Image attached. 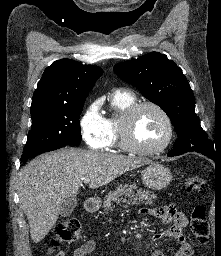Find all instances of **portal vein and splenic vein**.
<instances>
[{"instance_id":"18ae733b","label":"portal vein and splenic vein","mask_w":221,"mask_h":256,"mask_svg":"<svg viewBox=\"0 0 221 256\" xmlns=\"http://www.w3.org/2000/svg\"><path fill=\"white\" fill-rule=\"evenodd\" d=\"M90 182V179L89 178H87V179H84V183H89Z\"/></svg>"}]
</instances>
